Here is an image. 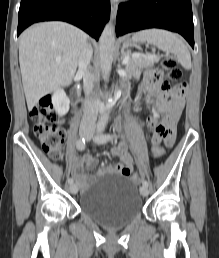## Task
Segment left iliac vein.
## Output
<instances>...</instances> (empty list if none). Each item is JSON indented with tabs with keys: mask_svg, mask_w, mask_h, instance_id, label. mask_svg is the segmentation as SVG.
<instances>
[{
	"mask_svg": "<svg viewBox=\"0 0 219 258\" xmlns=\"http://www.w3.org/2000/svg\"><path fill=\"white\" fill-rule=\"evenodd\" d=\"M140 193L142 196H148L149 194V190H148V187L147 186H141L140 187Z\"/></svg>",
	"mask_w": 219,
	"mask_h": 258,
	"instance_id": "left-iliac-vein-1",
	"label": "left iliac vein"
}]
</instances>
